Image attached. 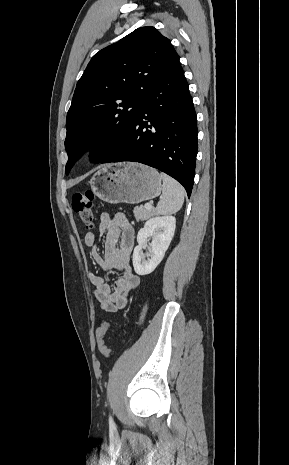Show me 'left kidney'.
<instances>
[{
  "label": "left kidney",
  "instance_id": "left-kidney-1",
  "mask_svg": "<svg viewBox=\"0 0 289 465\" xmlns=\"http://www.w3.org/2000/svg\"><path fill=\"white\" fill-rule=\"evenodd\" d=\"M176 226L174 216H156L146 221L137 234L138 245L133 252V267L138 275H147L162 261L173 238ZM152 238L150 253L142 254L147 247V239Z\"/></svg>",
  "mask_w": 289,
  "mask_h": 465
}]
</instances>
